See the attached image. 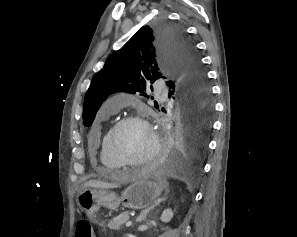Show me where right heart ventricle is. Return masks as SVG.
I'll return each mask as SVG.
<instances>
[{
    "instance_id": "right-heart-ventricle-1",
    "label": "right heart ventricle",
    "mask_w": 297,
    "mask_h": 237,
    "mask_svg": "<svg viewBox=\"0 0 297 237\" xmlns=\"http://www.w3.org/2000/svg\"><path fill=\"white\" fill-rule=\"evenodd\" d=\"M105 114H111V111H103ZM99 160L101 165L109 171H118L122 168L119 162L109 153L106 145V136L101 140L99 147Z\"/></svg>"
}]
</instances>
